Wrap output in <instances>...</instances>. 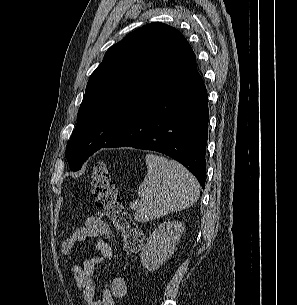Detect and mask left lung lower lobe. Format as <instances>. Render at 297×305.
I'll use <instances>...</instances> for the list:
<instances>
[{"mask_svg": "<svg viewBox=\"0 0 297 305\" xmlns=\"http://www.w3.org/2000/svg\"><path fill=\"white\" fill-rule=\"evenodd\" d=\"M208 119L207 91L193 71L150 88L101 148L127 146L166 154L204 189Z\"/></svg>", "mask_w": 297, "mask_h": 305, "instance_id": "obj_1", "label": "left lung lower lobe"}]
</instances>
